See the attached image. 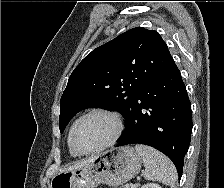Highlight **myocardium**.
<instances>
[{
	"label": "myocardium",
	"instance_id": "obj_1",
	"mask_svg": "<svg viewBox=\"0 0 224 188\" xmlns=\"http://www.w3.org/2000/svg\"><path fill=\"white\" fill-rule=\"evenodd\" d=\"M94 114H103V115L109 116L114 121L115 132L106 143L100 145L99 147L94 148L92 150H88V151L80 150L75 143V136H76L77 129L83 120H85L87 117L94 115ZM123 130H124V122L119 113H117L113 110H110V109H106V108H94V109L86 112L85 114H83L75 122V124L72 128V131H71V136H70L71 148L78 155H90V154H94V153L103 151V150L111 147L112 145H114L117 142V140L120 138Z\"/></svg>",
	"mask_w": 224,
	"mask_h": 188
}]
</instances>
